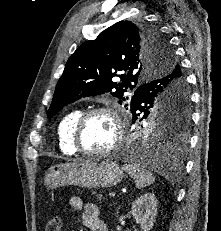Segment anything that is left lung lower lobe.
Here are the masks:
<instances>
[{
  "mask_svg": "<svg viewBox=\"0 0 221 231\" xmlns=\"http://www.w3.org/2000/svg\"><path fill=\"white\" fill-rule=\"evenodd\" d=\"M181 69V68H180ZM182 70H175L170 74L157 78L151 82L138 87L135 91L132 101L137 105L142 104L144 100H147L155 95L162 93H172L173 90L180 86L182 89L187 90V84L184 76H181ZM175 92V91H174ZM173 94V93H172ZM189 95V94H188ZM171 98V97H170ZM172 105L175 107H183L187 99L180 98L179 96L170 99ZM169 100V102H170ZM187 146V137L180 135L178 137H159L157 135H150L147 140L139 141L138 147L134 151L133 155L138 160H151L157 163L169 164L168 152H172L174 155H182Z\"/></svg>",
  "mask_w": 221,
  "mask_h": 231,
  "instance_id": "left-lung-lower-lobe-1",
  "label": "left lung lower lobe"
}]
</instances>
